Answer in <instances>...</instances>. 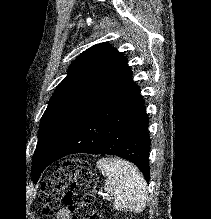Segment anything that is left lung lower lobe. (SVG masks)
Here are the masks:
<instances>
[{
	"mask_svg": "<svg viewBox=\"0 0 211 219\" xmlns=\"http://www.w3.org/2000/svg\"><path fill=\"white\" fill-rule=\"evenodd\" d=\"M148 123L143 97L128 69L81 117L56 154L38 150L32 159L43 171L70 154L115 155L134 163L149 183Z\"/></svg>",
	"mask_w": 211,
	"mask_h": 219,
	"instance_id": "1",
	"label": "left lung lower lobe"
}]
</instances>
